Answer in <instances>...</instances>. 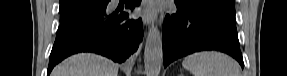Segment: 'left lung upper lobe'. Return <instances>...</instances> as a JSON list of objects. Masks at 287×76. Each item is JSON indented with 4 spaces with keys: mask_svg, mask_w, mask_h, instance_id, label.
Segmentation results:
<instances>
[{
    "mask_svg": "<svg viewBox=\"0 0 287 76\" xmlns=\"http://www.w3.org/2000/svg\"><path fill=\"white\" fill-rule=\"evenodd\" d=\"M176 2L205 13L230 29L236 30L235 0H177Z\"/></svg>",
    "mask_w": 287,
    "mask_h": 76,
    "instance_id": "1",
    "label": "left lung upper lobe"
}]
</instances>
